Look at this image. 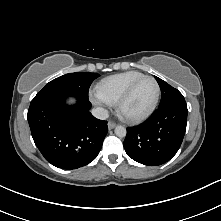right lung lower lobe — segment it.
Segmentation results:
<instances>
[{
    "mask_svg": "<svg viewBox=\"0 0 221 221\" xmlns=\"http://www.w3.org/2000/svg\"><path fill=\"white\" fill-rule=\"evenodd\" d=\"M66 96L44 98L30 104L28 122L33 140L44 158L62 169L89 164L100 152L108 132L107 121L90 112L88 98H77L73 106Z\"/></svg>",
    "mask_w": 221,
    "mask_h": 221,
    "instance_id": "98d812e1",
    "label": "right lung lower lobe"
}]
</instances>
